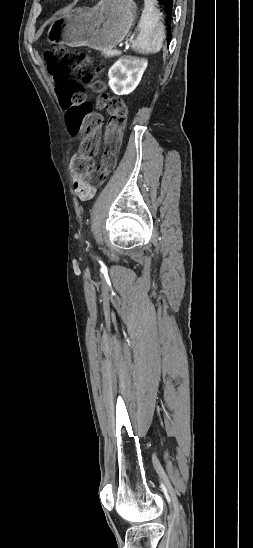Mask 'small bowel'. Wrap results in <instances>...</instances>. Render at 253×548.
I'll list each match as a JSON object with an SVG mask.
<instances>
[{"label": "small bowel", "instance_id": "c3829d8e", "mask_svg": "<svg viewBox=\"0 0 253 548\" xmlns=\"http://www.w3.org/2000/svg\"><path fill=\"white\" fill-rule=\"evenodd\" d=\"M72 180L74 191L79 199L87 201L94 197L97 192V186L88 184L83 176L77 175L74 172L72 173Z\"/></svg>", "mask_w": 253, "mask_h": 548}]
</instances>
